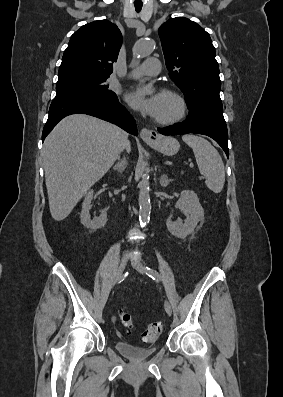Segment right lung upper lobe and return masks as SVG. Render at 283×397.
Returning <instances> with one entry per match:
<instances>
[{"label": "right lung upper lobe", "mask_w": 283, "mask_h": 397, "mask_svg": "<svg viewBox=\"0 0 283 397\" xmlns=\"http://www.w3.org/2000/svg\"><path fill=\"white\" fill-rule=\"evenodd\" d=\"M122 45V34L108 20H98L82 26L64 51L58 77L71 74L110 76Z\"/></svg>", "instance_id": "right-lung-upper-lobe-1"}]
</instances>
